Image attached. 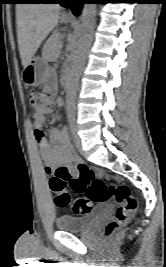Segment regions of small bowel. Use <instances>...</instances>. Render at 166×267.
I'll use <instances>...</instances> for the list:
<instances>
[{"mask_svg":"<svg viewBox=\"0 0 166 267\" xmlns=\"http://www.w3.org/2000/svg\"><path fill=\"white\" fill-rule=\"evenodd\" d=\"M49 91H54L53 85H48ZM52 112L48 108L33 115L34 134L38 144L42 162L45 164V173L51 174L56 166L71 167L75 165L79 158L73 151L68 140L66 127L53 128L50 130V137L47 139L43 133V122L45 115Z\"/></svg>","mask_w":166,"mask_h":267,"instance_id":"c3829d8e","label":"small bowel"}]
</instances>
